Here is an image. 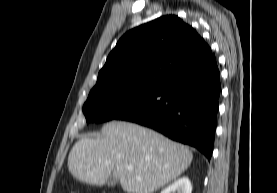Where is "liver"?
Here are the masks:
<instances>
[{
  "label": "liver",
  "instance_id": "obj_1",
  "mask_svg": "<svg viewBox=\"0 0 277 193\" xmlns=\"http://www.w3.org/2000/svg\"><path fill=\"white\" fill-rule=\"evenodd\" d=\"M192 159L188 147L149 128L114 120L97 138L83 137L75 143L68 170L88 184L101 186L114 176L128 193H153L176 180Z\"/></svg>",
  "mask_w": 277,
  "mask_h": 193
}]
</instances>
